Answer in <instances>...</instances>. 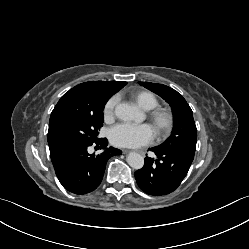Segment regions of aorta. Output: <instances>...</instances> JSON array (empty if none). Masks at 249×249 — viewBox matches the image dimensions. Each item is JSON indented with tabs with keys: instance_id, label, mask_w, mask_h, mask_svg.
<instances>
[{
	"instance_id": "1",
	"label": "aorta",
	"mask_w": 249,
	"mask_h": 249,
	"mask_svg": "<svg viewBox=\"0 0 249 249\" xmlns=\"http://www.w3.org/2000/svg\"><path fill=\"white\" fill-rule=\"evenodd\" d=\"M115 116L122 121H132L137 116V109L128 104L120 103L115 108ZM127 162L133 169H141L144 165V158L142 155L131 152L127 156Z\"/></svg>"
}]
</instances>
